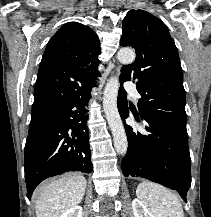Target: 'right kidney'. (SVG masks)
<instances>
[{"label":"right kidney","instance_id":"1","mask_svg":"<svg viewBox=\"0 0 211 217\" xmlns=\"http://www.w3.org/2000/svg\"><path fill=\"white\" fill-rule=\"evenodd\" d=\"M60 217H82V207L74 206L61 214Z\"/></svg>","mask_w":211,"mask_h":217}]
</instances>
